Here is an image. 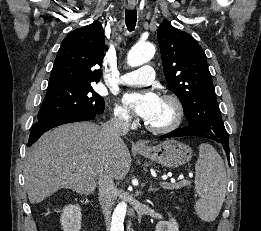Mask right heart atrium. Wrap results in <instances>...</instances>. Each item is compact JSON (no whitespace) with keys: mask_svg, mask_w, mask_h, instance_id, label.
<instances>
[{"mask_svg":"<svg viewBox=\"0 0 261 231\" xmlns=\"http://www.w3.org/2000/svg\"><path fill=\"white\" fill-rule=\"evenodd\" d=\"M113 122L122 128H127L132 122V116L125 107L116 105L113 112Z\"/></svg>","mask_w":261,"mask_h":231,"instance_id":"right-heart-atrium-1","label":"right heart atrium"}]
</instances>
